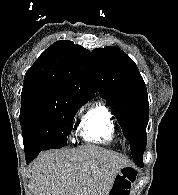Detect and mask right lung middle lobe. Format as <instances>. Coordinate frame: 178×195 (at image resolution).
Wrapping results in <instances>:
<instances>
[{
	"label": "right lung middle lobe",
	"instance_id": "dd1d6c3e",
	"mask_svg": "<svg viewBox=\"0 0 178 195\" xmlns=\"http://www.w3.org/2000/svg\"><path fill=\"white\" fill-rule=\"evenodd\" d=\"M86 101L21 98L20 124L25 154L61 148L73 128V118Z\"/></svg>",
	"mask_w": 178,
	"mask_h": 195
}]
</instances>
